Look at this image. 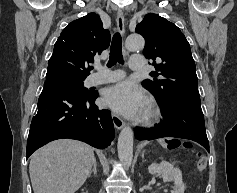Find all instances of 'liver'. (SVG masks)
I'll list each match as a JSON object with an SVG mask.
<instances>
[{"instance_id":"6515ba94","label":"liver","mask_w":237,"mask_h":193,"mask_svg":"<svg viewBox=\"0 0 237 193\" xmlns=\"http://www.w3.org/2000/svg\"><path fill=\"white\" fill-rule=\"evenodd\" d=\"M95 160L91 146L60 139L31 156L29 174L34 193H75L86 181Z\"/></svg>"}]
</instances>
